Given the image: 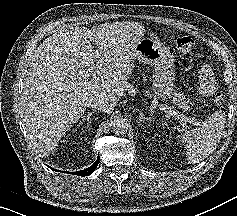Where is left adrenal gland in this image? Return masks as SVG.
<instances>
[{
	"mask_svg": "<svg viewBox=\"0 0 237 216\" xmlns=\"http://www.w3.org/2000/svg\"><path fill=\"white\" fill-rule=\"evenodd\" d=\"M144 120H145V115H144V113H143L142 111H140V112H139V116H138L136 122H137L139 125H141V122L144 121Z\"/></svg>",
	"mask_w": 237,
	"mask_h": 216,
	"instance_id": "1",
	"label": "left adrenal gland"
}]
</instances>
